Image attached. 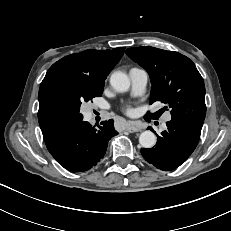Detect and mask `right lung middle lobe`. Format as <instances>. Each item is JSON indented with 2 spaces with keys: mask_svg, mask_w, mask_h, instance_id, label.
Instances as JSON below:
<instances>
[{
  "mask_svg": "<svg viewBox=\"0 0 231 231\" xmlns=\"http://www.w3.org/2000/svg\"><path fill=\"white\" fill-rule=\"evenodd\" d=\"M104 84H93L87 81H74L63 86L58 99L66 111L77 121L83 119L80 113L82 102H88L94 97H100Z\"/></svg>",
  "mask_w": 231,
  "mask_h": 231,
  "instance_id": "1",
  "label": "right lung middle lobe"
}]
</instances>
